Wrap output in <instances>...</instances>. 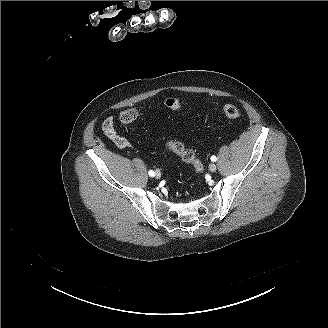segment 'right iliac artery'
<instances>
[{"label": "right iliac artery", "instance_id": "82829eb1", "mask_svg": "<svg viewBox=\"0 0 328 328\" xmlns=\"http://www.w3.org/2000/svg\"><path fill=\"white\" fill-rule=\"evenodd\" d=\"M149 175H150L151 177H153V176H155V172L152 171V170H150V171H149Z\"/></svg>", "mask_w": 328, "mask_h": 328}]
</instances>
